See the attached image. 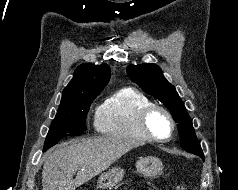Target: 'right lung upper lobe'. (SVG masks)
Wrapping results in <instances>:
<instances>
[{
  "mask_svg": "<svg viewBox=\"0 0 238 190\" xmlns=\"http://www.w3.org/2000/svg\"><path fill=\"white\" fill-rule=\"evenodd\" d=\"M110 76L107 64H81L74 72L72 80L65 87L61 103H66L80 95L99 94Z\"/></svg>",
  "mask_w": 238,
  "mask_h": 190,
  "instance_id": "1",
  "label": "right lung upper lobe"
}]
</instances>
